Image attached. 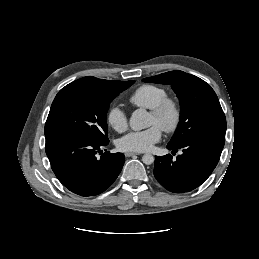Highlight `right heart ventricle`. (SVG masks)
<instances>
[{
    "label": "right heart ventricle",
    "instance_id": "1",
    "mask_svg": "<svg viewBox=\"0 0 259 259\" xmlns=\"http://www.w3.org/2000/svg\"><path fill=\"white\" fill-rule=\"evenodd\" d=\"M165 97H167V92L164 88L153 84H144L130 95L129 102L133 106L151 110Z\"/></svg>",
    "mask_w": 259,
    "mask_h": 259
}]
</instances>
